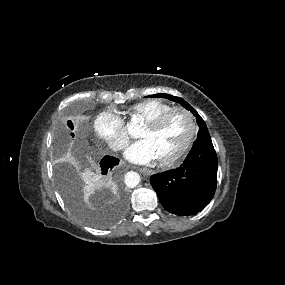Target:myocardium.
Masks as SVG:
<instances>
[{"label": "myocardium", "instance_id": "myocardium-1", "mask_svg": "<svg viewBox=\"0 0 285 285\" xmlns=\"http://www.w3.org/2000/svg\"><path fill=\"white\" fill-rule=\"evenodd\" d=\"M178 113L183 114L189 122V135L183 145L174 154L167 157L159 158V163L163 166L174 165L188 154L198 135V123L196 121L195 116L189 110L183 107H172L169 110L158 115L157 117L146 122V125L150 126L151 128L158 129L162 127L173 115Z\"/></svg>", "mask_w": 285, "mask_h": 285}]
</instances>
